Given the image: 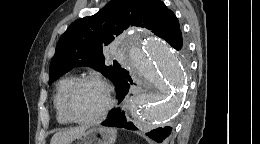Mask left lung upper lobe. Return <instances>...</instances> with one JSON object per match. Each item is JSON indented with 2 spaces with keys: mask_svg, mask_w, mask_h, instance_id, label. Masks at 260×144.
Returning <instances> with one entry per match:
<instances>
[{
  "mask_svg": "<svg viewBox=\"0 0 260 144\" xmlns=\"http://www.w3.org/2000/svg\"><path fill=\"white\" fill-rule=\"evenodd\" d=\"M133 25L149 29L167 42L180 31L175 14L162 1L112 0L93 16L73 22L60 37L49 66V84L78 65L101 72L117 87L125 72L105 65L103 47ZM186 50L184 43L181 51Z\"/></svg>",
  "mask_w": 260,
  "mask_h": 144,
  "instance_id": "5c2ea615",
  "label": "left lung upper lobe"
}]
</instances>
